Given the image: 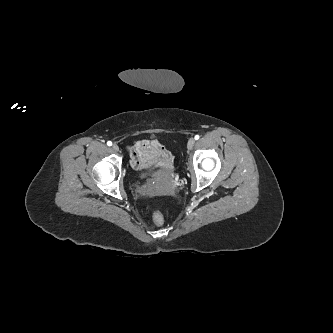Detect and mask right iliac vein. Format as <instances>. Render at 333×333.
<instances>
[{
  "mask_svg": "<svg viewBox=\"0 0 333 333\" xmlns=\"http://www.w3.org/2000/svg\"><path fill=\"white\" fill-rule=\"evenodd\" d=\"M112 149L117 152L119 150V147L117 144H113Z\"/></svg>",
  "mask_w": 333,
  "mask_h": 333,
  "instance_id": "1",
  "label": "right iliac vein"
}]
</instances>
